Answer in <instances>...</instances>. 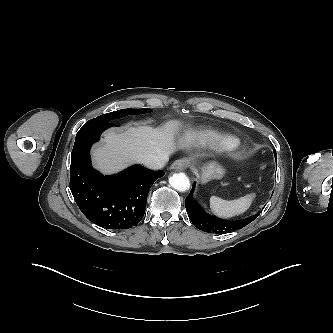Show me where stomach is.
I'll return each instance as SVG.
<instances>
[{
	"mask_svg": "<svg viewBox=\"0 0 333 333\" xmlns=\"http://www.w3.org/2000/svg\"><path fill=\"white\" fill-rule=\"evenodd\" d=\"M225 173L222 166L216 162H211L203 166L202 168V181L207 182L211 179H220Z\"/></svg>",
	"mask_w": 333,
	"mask_h": 333,
	"instance_id": "obj_1",
	"label": "stomach"
}]
</instances>
